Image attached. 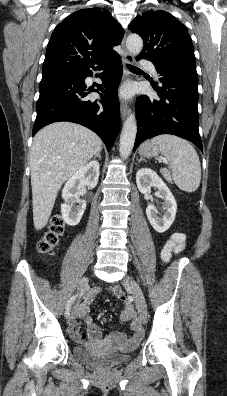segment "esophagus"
I'll return each instance as SVG.
<instances>
[{
  "instance_id": "esophagus-1",
  "label": "esophagus",
  "mask_w": 227,
  "mask_h": 396,
  "mask_svg": "<svg viewBox=\"0 0 227 396\" xmlns=\"http://www.w3.org/2000/svg\"><path fill=\"white\" fill-rule=\"evenodd\" d=\"M121 46L124 49V57H123L124 64L125 65L132 64L134 62V57L125 48V35L122 39ZM128 76H129V71H128L127 67L124 66V77L127 78ZM120 112H121V118L123 120L126 119V117L128 116V114L130 112L129 106L126 103L122 102L121 106H120Z\"/></svg>"
}]
</instances>
